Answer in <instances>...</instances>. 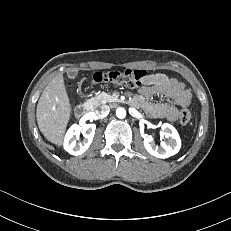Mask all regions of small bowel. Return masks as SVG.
I'll use <instances>...</instances> for the list:
<instances>
[{
    "instance_id": "1",
    "label": "small bowel",
    "mask_w": 231,
    "mask_h": 231,
    "mask_svg": "<svg viewBox=\"0 0 231 231\" xmlns=\"http://www.w3.org/2000/svg\"><path fill=\"white\" fill-rule=\"evenodd\" d=\"M160 94L167 97L172 104L153 102L151 97ZM191 101V92L185 84L162 73L149 74L145 77L139 94L132 102L141 106L148 114L157 118L174 121L180 107H187Z\"/></svg>"
}]
</instances>
